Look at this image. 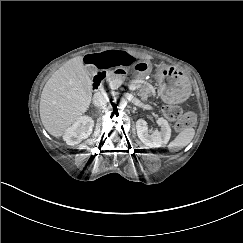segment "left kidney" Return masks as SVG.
Returning <instances> with one entry per match:
<instances>
[{
    "mask_svg": "<svg viewBox=\"0 0 243 243\" xmlns=\"http://www.w3.org/2000/svg\"><path fill=\"white\" fill-rule=\"evenodd\" d=\"M157 124L161 127V130L149 134L147 122L145 120L139 119L136 122L137 135L141 142L148 148L161 147L167 144L171 137V128L166 119L162 117L159 118Z\"/></svg>",
    "mask_w": 243,
    "mask_h": 243,
    "instance_id": "left-kidney-1",
    "label": "left kidney"
}]
</instances>
